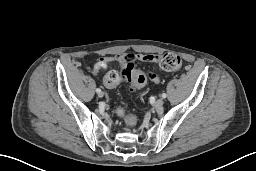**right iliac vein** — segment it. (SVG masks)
<instances>
[{
    "instance_id": "obj_1",
    "label": "right iliac vein",
    "mask_w": 256,
    "mask_h": 171,
    "mask_svg": "<svg viewBox=\"0 0 256 171\" xmlns=\"http://www.w3.org/2000/svg\"><path fill=\"white\" fill-rule=\"evenodd\" d=\"M98 96L102 98L104 96V93L101 91L100 93H98Z\"/></svg>"
}]
</instances>
